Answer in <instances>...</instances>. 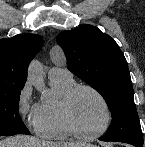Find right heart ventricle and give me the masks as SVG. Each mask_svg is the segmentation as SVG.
<instances>
[{
	"instance_id": "1",
	"label": "right heart ventricle",
	"mask_w": 145,
	"mask_h": 147,
	"mask_svg": "<svg viewBox=\"0 0 145 147\" xmlns=\"http://www.w3.org/2000/svg\"><path fill=\"white\" fill-rule=\"evenodd\" d=\"M54 97L38 104L39 120L36 132L46 139L64 140L75 136L62 114V101L76 83L72 78H50Z\"/></svg>"
}]
</instances>
